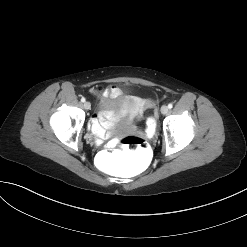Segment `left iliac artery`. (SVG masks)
Masks as SVG:
<instances>
[{
    "label": "left iliac artery",
    "mask_w": 247,
    "mask_h": 247,
    "mask_svg": "<svg viewBox=\"0 0 247 247\" xmlns=\"http://www.w3.org/2000/svg\"><path fill=\"white\" fill-rule=\"evenodd\" d=\"M173 107V105L170 103L168 104V108L171 109Z\"/></svg>",
    "instance_id": "obj_1"
}]
</instances>
